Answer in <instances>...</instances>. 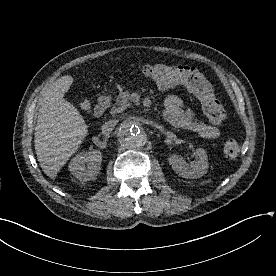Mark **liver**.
<instances>
[{
	"label": "liver",
	"instance_id": "1",
	"mask_svg": "<svg viewBox=\"0 0 276 276\" xmlns=\"http://www.w3.org/2000/svg\"><path fill=\"white\" fill-rule=\"evenodd\" d=\"M73 83L71 75L57 79L42 94L35 127V151L40 167L51 179L78 150L88 134L80 112L64 98Z\"/></svg>",
	"mask_w": 276,
	"mask_h": 276
}]
</instances>
